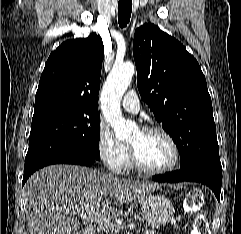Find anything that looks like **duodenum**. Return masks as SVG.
Wrapping results in <instances>:
<instances>
[{
    "label": "duodenum",
    "instance_id": "1",
    "mask_svg": "<svg viewBox=\"0 0 241 234\" xmlns=\"http://www.w3.org/2000/svg\"><path fill=\"white\" fill-rule=\"evenodd\" d=\"M82 234H95V230L91 226H87L84 228Z\"/></svg>",
    "mask_w": 241,
    "mask_h": 234
}]
</instances>
